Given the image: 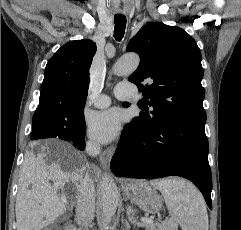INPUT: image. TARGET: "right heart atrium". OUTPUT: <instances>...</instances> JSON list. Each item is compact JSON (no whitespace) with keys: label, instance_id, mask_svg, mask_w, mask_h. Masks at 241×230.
<instances>
[{"label":"right heart atrium","instance_id":"right-heart-atrium-1","mask_svg":"<svg viewBox=\"0 0 241 230\" xmlns=\"http://www.w3.org/2000/svg\"><path fill=\"white\" fill-rule=\"evenodd\" d=\"M87 148L89 151L94 152L97 150V145L91 141L87 142Z\"/></svg>","mask_w":241,"mask_h":230}]
</instances>
